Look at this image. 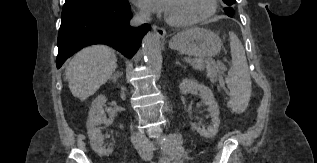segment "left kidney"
I'll return each instance as SVG.
<instances>
[{"mask_svg": "<svg viewBox=\"0 0 317 163\" xmlns=\"http://www.w3.org/2000/svg\"><path fill=\"white\" fill-rule=\"evenodd\" d=\"M179 88L183 94L193 93L194 91H198L200 93L204 104L208 107V112L211 114L212 122L207 129L201 128L195 123H191L190 125L193 130H196L204 138H213L218 132L220 112L212 91L207 86L199 84L197 81L192 79H183Z\"/></svg>", "mask_w": 317, "mask_h": 163, "instance_id": "5707ae66", "label": "left kidney"}]
</instances>
